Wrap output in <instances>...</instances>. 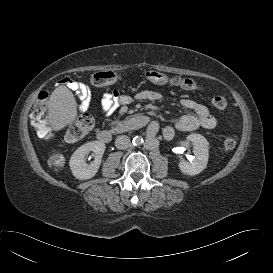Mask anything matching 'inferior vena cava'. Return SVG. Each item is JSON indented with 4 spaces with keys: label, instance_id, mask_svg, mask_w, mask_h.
Here are the masks:
<instances>
[{
    "label": "inferior vena cava",
    "instance_id": "602c4592",
    "mask_svg": "<svg viewBox=\"0 0 273 273\" xmlns=\"http://www.w3.org/2000/svg\"><path fill=\"white\" fill-rule=\"evenodd\" d=\"M115 146L121 150L128 148L130 146L129 137L126 135L118 136L115 140Z\"/></svg>",
    "mask_w": 273,
    "mask_h": 273
}]
</instances>
